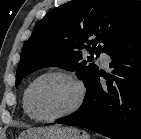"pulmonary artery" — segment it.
<instances>
[{"instance_id": "obj_1", "label": "pulmonary artery", "mask_w": 141, "mask_h": 139, "mask_svg": "<svg viewBox=\"0 0 141 139\" xmlns=\"http://www.w3.org/2000/svg\"><path fill=\"white\" fill-rule=\"evenodd\" d=\"M99 60L104 67H108L109 65V56L105 52L100 53Z\"/></svg>"}]
</instances>
